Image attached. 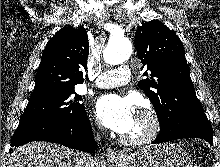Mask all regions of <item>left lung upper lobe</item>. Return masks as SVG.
I'll return each mask as SVG.
<instances>
[{"instance_id":"1","label":"left lung upper lobe","mask_w":220,"mask_h":167,"mask_svg":"<svg viewBox=\"0 0 220 167\" xmlns=\"http://www.w3.org/2000/svg\"><path fill=\"white\" fill-rule=\"evenodd\" d=\"M135 46L150 78L138 87L154 105L160 129H168L186 117L204 113L196 97L180 38L163 23L152 20L135 33Z\"/></svg>"}]
</instances>
